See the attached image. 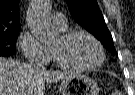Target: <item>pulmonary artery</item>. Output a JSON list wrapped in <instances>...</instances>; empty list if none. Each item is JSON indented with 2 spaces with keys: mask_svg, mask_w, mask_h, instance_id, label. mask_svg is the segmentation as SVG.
Here are the masks:
<instances>
[{
  "mask_svg": "<svg viewBox=\"0 0 135 95\" xmlns=\"http://www.w3.org/2000/svg\"><path fill=\"white\" fill-rule=\"evenodd\" d=\"M52 24L57 28H65L67 26L65 15L62 13H53Z\"/></svg>",
  "mask_w": 135,
  "mask_h": 95,
  "instance_id": "pulmonary-artery-1",
  "label": "pulmonary artery"
}]
</instances>
